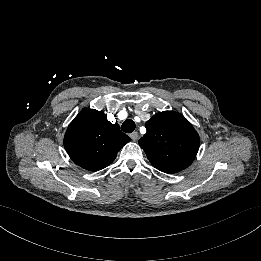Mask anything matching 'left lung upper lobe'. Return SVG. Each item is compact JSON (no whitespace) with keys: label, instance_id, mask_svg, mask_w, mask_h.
<instances>
[{"label":"left lung upper lobe","instance_id":"1","mask_svg":"<svg viewBox=\"0 0 261 261\" xmlns=\"http://www.w3.org/2000/svg\"><path fill=\"white\" fill-rule=\"evenodd\" d=\"M146 134L139 140L151 164L165 173L187 168L199 149V135L180 113L163 111L145 124Z\"/></svg>","mask_w":261,"mask_h":261}]
</instances>
